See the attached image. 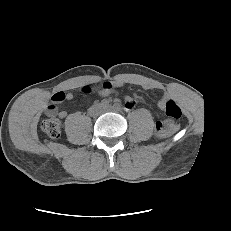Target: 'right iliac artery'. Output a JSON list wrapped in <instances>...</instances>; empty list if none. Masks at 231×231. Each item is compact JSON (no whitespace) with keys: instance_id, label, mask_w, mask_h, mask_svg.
<instances>
[{"instance_id":"82829eb1","label":"right iliac artery","mask_w":231,"mask_h":231,"mask_svg":"<svg viewBox=\"0 0 231 231\" xmlns=\"http://www.w3.org/2000/svg\"><path fill=\"white\" fill-rule=\"evenodd\" d=\"M102 105H103V107H106V106H108L109 104H108V102H103Z\"/></svg>"}]
</instances>
